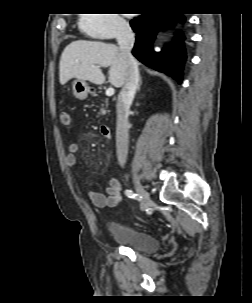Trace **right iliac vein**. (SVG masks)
<instances>
[{"instance_id":"1","label":"right iliac vein","mask_w":252,"mask_h":303,"mask_svg":"<svg viewBox=\"0 0 252 303\" xmlns=\"http://www.w3.org/2000/svg\"><path fill=\"white\" fill-rule=\"evenodd\" d=\"M135 189H136V192L138 193V195L142 199L141 200L142 210H146L149 207L150 202H151L149 195L145 192L144 188L138 183L135 184Z\"/></svg>"}]
</instances>
